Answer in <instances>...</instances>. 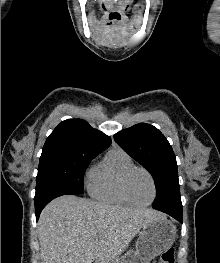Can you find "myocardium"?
<instances>
[{
    "mask_svg": "<svg viewBox=\"0 0 220 263\" xmlns=\"http://www.w3.org/2000/svg\"><path fill=\"white\" fill-rule=\"evenodd\" d=\"M136 171H141V172L145 173L148 176V178L150 179V181H151V184H152V197L147 203L140 204V203L135 202L132 199V197H131V195L129 193V188H128L129 180H130L131 176L133 175V173L136 172ZM121 187H122L123 195L126 198V200L131 205L136 206V207H147V206L151 205L154 202V200L156 198V195H157V185H156V181H155L153 175L146 168L140 167V166H133V167L129 168L124 173L123 178H122Z\"/></svg>",
    "mask_w": 220,
    "mask_h": 263,
    "instance_id": "1",
    "label": "myocardium"
}]
</instances>
